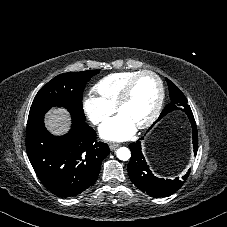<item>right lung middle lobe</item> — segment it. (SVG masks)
<instances>
[{"label":"right lung middle lobe","mask_w":227,"mask_h":227,"mask_svg":"<svg viewBox=\"0 0 227 227\" xmlns=\"http://www.w3.org/2000/svg\"><path fill=\"white\" fill-rule=\"evenodd\" d=\"M99 71L70 72L56 76L45 84L35 96L28 123H32L54 106L66 108L73 117L85 120L82 95L86 83ZM27 123V124H28Z\"/></svg>","instance_id":"1"}]
</instances>
